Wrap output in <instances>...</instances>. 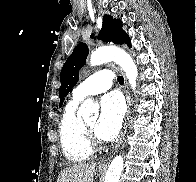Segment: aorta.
Returning <instances> with one entry per match:
<instances>
[{"label":"aorta","mask_w":196,"mask_h":182,"mask_svg":"<svg viewBox=\"0 0 196 182\" xmlns=\"http://www.w3.org/2000/svg\"><path fill=\"white\" fill-rule=\"evenodd\" d=\"M109 61H114L122 67L131 88L135 90L138 70L131 56L125 51L115 47H103L96 49L90 56L91 66H97ZM98 113L99 105L91 99L84 101L78 110V115L84 119L88 117L97 119ZM123 169V157L121 155L114 157L108 168L104 182H119Z\"/></svg>","instance_id":"762f6f07"}]
</instances>
